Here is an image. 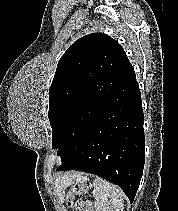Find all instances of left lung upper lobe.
Returning <instances> with one entry per match:
<instances>
[{"instance_id":"5c2ea615","label":"left lung upper lobe","mask_w":178,"mask_h":211,"mask_svg":"<svg viewBox=\"0 0 178 211\" xmlns=\"http://www.w3.org/2000/svg\"><path fill=\"white\" fill-rule=\"evenodd\" d=\"M130 65L119 43L104 33L86 35L60 58L50 86L52 147L64 162L102 114Z\"/></svg>"}]
</instances>
